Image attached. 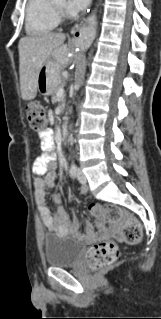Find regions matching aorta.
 Listing matches in <instances>:
<instances>
[{"label": "aorta", "mask_w": 161, "mask_h": 319, "mask_svg": "<svg viewBox=\"0 0 161 319\" xmlns=\"http://www.w3.org/2000/svg\"><path fill=\"white\" fill-rule=\"evenodd\" d=\"M69 141L72 143L73 141V137H72V134L69 136Z\"/></svg>", "instance_id": "aorta-1"}]
</instances>
